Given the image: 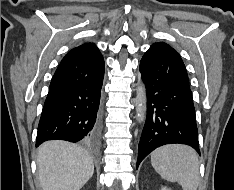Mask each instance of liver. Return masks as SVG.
I'll use <instances>...</instances> for the list:
<instances>
[{"label": "liver", "mask_w": 234, "mask_h": 190, "mask_svg": "<svg viewBox=\"0 0 234 190\" xmlns=\"http://www.w3.org/2000/svg\"><path fill=\"white\" fill-rule=\"evenodd\" d=\"M42 190H80L94 173L93 159L82 147L65 141H47L38 149Z\"/></svg>", "instance_id": "6515ba94"}]
</instances>
